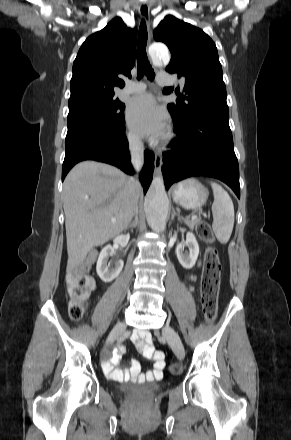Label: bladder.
<instances>
[{
    "instance_id": "1",
    "label": "bladder",
    "mask_w": 291,
    "mask_h": 440,
    "mask_svg": "<svg viewBox=\"0 0 291 440\" xmlns=\"http://www.w3.org/2000/svg\"><path fill=\"white\" fill-rule=\"evenodd\" d=\"M130 384V383H127ZM133 392V389L130 387H124L121 389V395L127 396Z\"/></svg>"
}]
</instances>
